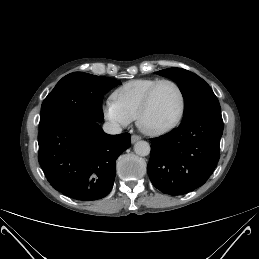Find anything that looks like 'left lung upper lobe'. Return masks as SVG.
I'll use <instances>...</instances> for the list:
<instances>
[{
    "label": "left lung upper lobe",
    "instance_id": "5c2ea615",
    "mask_svg": "<svg viewBox=\"0 0 259 259\" xmlns=\"http://www.w3.org/2000/svg\"><path fill=\"white\" fill-rule=\"evenodd\" d=\"M157 74L171 78L178 84L185 100L182 123L203 115H221L218 99L198 75L181 68H168Z\"/></svg>",
    "mask_w": 259,
    "mask_h": 259
}]
</instances>
